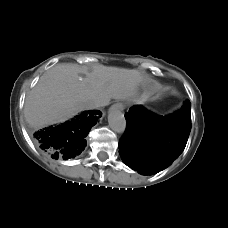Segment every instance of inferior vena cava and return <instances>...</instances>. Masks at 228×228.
<instances>
[{
	"label": "inferior vena cava",
	"instance_id": "1",
	"mask_svg": "<svg viewBox=\"0 0 228 228\" xmlns=\"http://www.w3.org/2000/svg\"><path fill=\"white\" fill-rule=\"evenodd\" d=\"M102 103L96 100H89L86 102V108L88 109H94V108H98L101 107Z\"/></svg>",
	"mask_w": 228,
	"mask_h": 228
}]
</instances>
